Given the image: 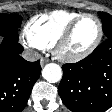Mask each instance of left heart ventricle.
Instances as JSON below:
<instances>
[{"mask_svg": "<svg viewBox=\"0 0 112 112\" xmlns=\"http://www.w3.org/2000/svg\"><path fill=\"white\" fill-rule=\"evenodd\" d=\"M98 25L91 17L83 18L74 28L63 46L66 54H77L86 50L97 36Z\"/></svg>", "mask_w": 112, "mask_h": 112, "instance_id": "b2bd125f", "label": "left heart ventricle"}]
</instances>
